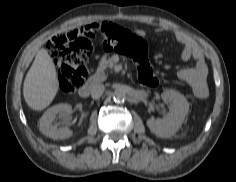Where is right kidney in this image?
<instances>
[{
	"label": "right kidney",
	"instance_id": "obj_1",
	"mask_svg": "<svg viewBox=\"0 0 236 182\" xmlns=\"http://www.w3.org/2000/svg\"><path fill=\"white\" fill-rule=\"evenodd\" d=\"M72 113V107L69 104H58L49 108L41 117L39 122V130L42 134L52 139H67L73 135V132L67 128H58L53 125L57 116L63 117Z\"/></svg>",
	"mask_w": 236,
	"mask_h": 182
}]
</instances>
